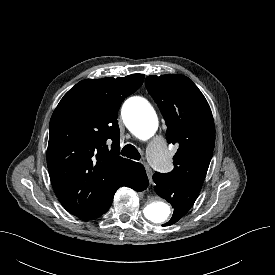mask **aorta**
Returning <instances> with one entry per match:
<instances>
[{"mask_svg":"<svg viewBox=\"0 0 275 275\" xmlns=\"http://www.w3.org/2000/svg\"><path fill=\"white\" fill-rule=\"evenodd\" d=\"M122 117L127 128L139 139L152 137L158 129V117L151 104L144 98L128 99L122 107ZM145 218L155 226H162L171 217V207L159 200L151 201L143 210Z\"/></svg>","mask_w":275,"mask_h":275,"instance_id":"1","label":"aorta"}]
</instances>
